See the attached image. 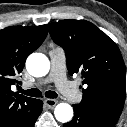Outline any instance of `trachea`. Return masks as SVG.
I'll return each mask as SVG.
<instances>
[{
    "label": "trachea",
    "instance_id": "3493384b",
    "mask_svg": "<svg viewBox=\"0 0 127 127\" xmlns=\"http://www.w3.org/2000/svg\"><path fill=\"white\" fill-rule=\"evenodd\" d=\"M20 92H22L25 95L31 96V97H41V95H42L41 91L36 88L29 89V90L21 89ZM45 96L47 98H57L58 94L54 91H46Z\"/></svg>",
    "mask_w": 127,
    "mask_h": 127
}]
</instances>
